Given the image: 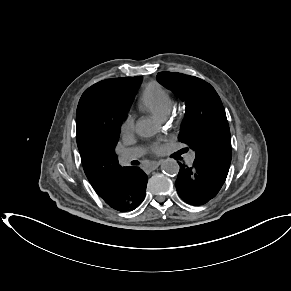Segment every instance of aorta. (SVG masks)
Returning a JSON list of instances; mask_svg holds the SVG:
<instances>
[{"label": "aorta", "mask_w": 291, "mask_h": 291, "mask_svg": "<svg viewBox=\"0 0 291 291\" xmlns=\"http://www.w3.org/2000/svg\"><path fill=\"white\" fill-rule=\"evenodd\" d=\"M135 131L141 137H152L156 134L155 125L147 119L138 120L135 126ZM179 169V164L174 159H166L161 164V170L169 176L177 175Z\"/></svg>", "instance_id": "aorta-1"}]
</instances>
